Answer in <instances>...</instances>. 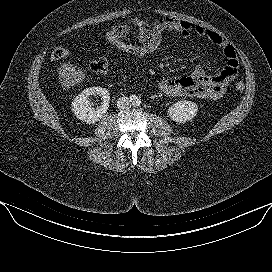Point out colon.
<instances>
[{"mask_svg": "<svg viewBox=\"0 0 272 272\" xmlns=\"http://www.w3.org/2000/svg\"><path fill=\"white\" fill-rule=\"evenodd\" d=\"M106 42L118 51L135 58H145L160 53L165 45L154 40H139L130 36L115 33L111 30L104 35ZM69 56V50L62 47L53 49L51 57L61 60ZM90 69L96 73H104L108 69V63L104 59H96L90 63ZM236 89L242 92L245 89L243 82H237Z\"/></svg>", "mask_w": 272, "mask_h": 272, "instance_id": "colon-1", "label": "colon"}]
</instances>
